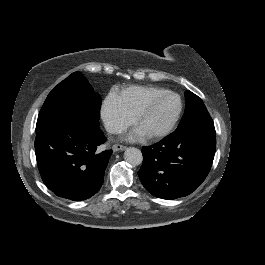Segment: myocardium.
<instances>
[{"mask_svg": "<svg viewBox=\"0 0 265 265\" xmlns=\"http://www.w3.org/2000/svg\"><path fill=\"white\" fill-rule=\"evenodd\" d=\"M161 93H168L171 94L173 96H175L178 100H179V108L178 111L176 112L175 116L170 119L169 121H167L166 123H164L163 125H161L156 131L150 133V134H145V136L149 139H156L159 138L163 135H165L179 120L182 111H183V99L181 97V95H179L178 93L170 90V89H158L156 91H154L144 102V104L140 107V109L136 112L135 114V124L137 125V121L138 119L148 110V108L150 107V105L152 104V102L154 101L155 97Z\"/></svg>", "mask_w": 265, "mask_h": 265, "instance_id": "1", "label": "myocardium"}]
</instances>
